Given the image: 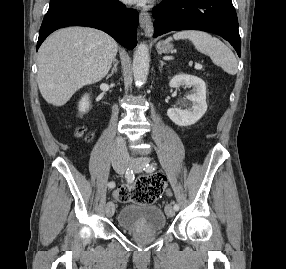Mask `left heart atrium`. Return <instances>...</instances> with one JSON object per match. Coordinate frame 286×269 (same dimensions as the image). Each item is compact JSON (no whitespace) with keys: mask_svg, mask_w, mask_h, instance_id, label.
<instances>
[{"mask_svg":"<svg viewBox=\"0 0 286 269\" xmlns=\"http://www.w3.org/2000/svg\"><path fill=\"white\" fill-rule=\"evenodd\" d=\"M129 4H138V5H145L146 3L151 2L152 0H122Z\"/></svg>","mask_w":286,"mask_h":269,"instance_id":"obj_1","label":"left heart atrium"}]
</instances>
